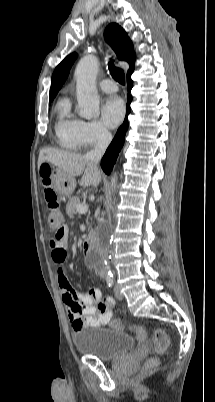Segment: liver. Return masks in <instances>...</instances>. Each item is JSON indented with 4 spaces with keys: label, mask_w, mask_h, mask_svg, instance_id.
<instances>
[{
    "label": "liver",
    "mask_w": 215,
    "mask_h": 402,
    "mask_svg": "<svg viewBox=\"0 0 215 402\" xmlns=\"http://www.w3.org/2000/svg\"><path fill=\"white\" fill-rule=\"evenodd\" d=\"M44 162H49L65 173L75 177L82 175L81 186L97 187L101 181V174L97 166L92 164L85 156L47 148L40 151L38 167Z\"/></svg>",
    "instance_id": "liver-1"
}]
</instances>
